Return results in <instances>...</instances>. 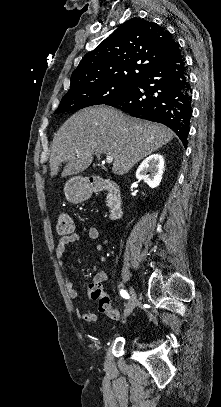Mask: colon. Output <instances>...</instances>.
I'll use <instances>...</instances> for the list:
<instances>
[{
    "label": "colon",
    "mask_w": 221,
    "mask_h": 407,
    "mask_svg": "<svg viewBox=\"0 0 221 407\" xmlns=\"http://www.w3.org/2000/svg\"><path fill=\"white\" fill-rule=\"evenodd\" d=\"M74 226L71 217L68 214H61L58 217L56 231L60 236H68L73 232ZM89 295L99 301V311L105 313L112 320H119L121 313L119 310L112 308L109 299L104 296L102 285L99 282L89 283Z\"/></svg>",
    "instance_id": "colon-1"
}]
</instances>
